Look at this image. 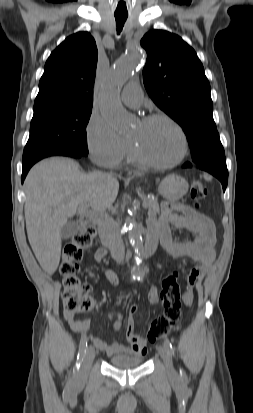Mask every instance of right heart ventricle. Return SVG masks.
<instances>
[{"instance_id": "e07e8e85", "label": "right heart ventricle", "mask_w": 253, "mask_h": 413, "mask_svg": "<svg viewBox=\"0 0 253 413\" xmlns=\"http://www.w3.org/2000/svg\"><path fill=\"white\" fill-rule=\"evenodd\" d=\"M124 158H126V160H127L128 162H132V163H134V162H137V161H138V160L136 159V157H135V155H134L133 151H132L131 146L129 147V149H128V151H127V153H126V155H125V157H124Z\"/></svg>"}]
</instances>
